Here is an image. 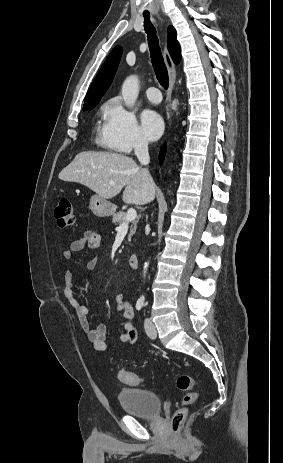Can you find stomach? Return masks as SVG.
Returning a JSON list of instances; mask_svg holds the SVG:
<instances>
[{"instance_id":"stomach-1","label":"stomach","mask_w":283,"mask_h":463,"mask_svg":"<svg viewBox=\"0 0 283 463\" xmlns=\"http://www.w3.org/2000/svg\"><path fill=\"white\" fill-rule=\"evenodd\" d=\"M89 208L97 217L110 216L115 211L114 205L99 195L91 196Z\"/></svg>"}]
</instances>
